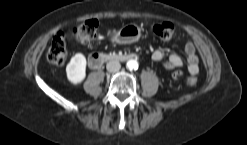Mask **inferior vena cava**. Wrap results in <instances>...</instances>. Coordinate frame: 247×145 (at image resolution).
I'll use <instances>...</instances> for the list:
<instances>
[{"mask_svg":"<svg viewBox=\"0 0 247 145\" xmlns=\"http://www.w3.org/2000/svg\"><path fill=\"white\" fill-rule=\"evenodd\" d=\"M121 68V64L118 61H110L106 65L108 72H117Z\"/></svg>","mask_w":247,"mask_h":145,"instance_id":"inferior-vena-cava-1","label":"inferior vena cava"}]
</instances>
